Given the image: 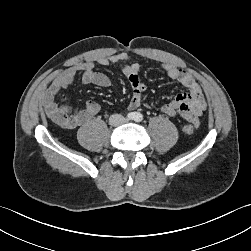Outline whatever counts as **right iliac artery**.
<instances>
[{"label": "right iliac artery", "mask_w": 251, "mask_h": 251, "mask_svg": "<svg viewBox=\"0 0 251 251\" xmlns=\"http://www.w3.org/2000/svg\"><path fill=\"white\" fill-rule=\"evenodd\" d=\"M127 118H128V119H134V118H135V114H134V113H129V114L127 115Z\"/></svg>", "instance_id": "right-iliac-artery-1"}]
</instances>
